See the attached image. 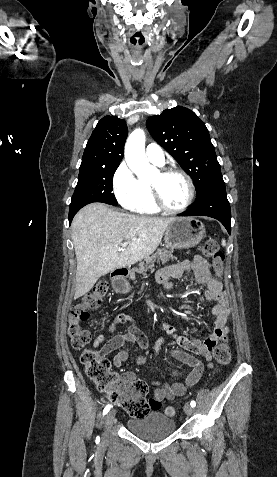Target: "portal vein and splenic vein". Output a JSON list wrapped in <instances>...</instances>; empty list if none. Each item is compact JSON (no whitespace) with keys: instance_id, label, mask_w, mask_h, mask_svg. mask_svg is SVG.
<instances>
[{"instance_id":"obj_1","label":"portal vein and splenic vein","mask_w":277,"mask_h":477,"mask_svg":"<svg viewBox=\"0 0 277 477\" xmlns=\"http://www.w3.org/2000/svg\"><path fill=\"white\" fill-rule=\"evenodd\" d=\"M128 244H129V241H126V242L122 243L121 246H122V248H126Z\"/></svg>"}]
</instances>
